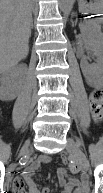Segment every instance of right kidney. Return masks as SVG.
Masks as SVG:
<instances>
[{"instance_id":"ca27d5eb","label":"right kidney","mask_w":103,"mask_h":193,"mask_svg":"<svg viewBox=\"0 0 103 193\" xmlns=\"http://www.w3.org/2000/svg\"><path fill=\"white\" fill-rule=\"evenodd\" d=\"M26 70V65H16L0 76V98L4 101L14 100L20 90V75Z\"/></svg>"}]
</instances>
